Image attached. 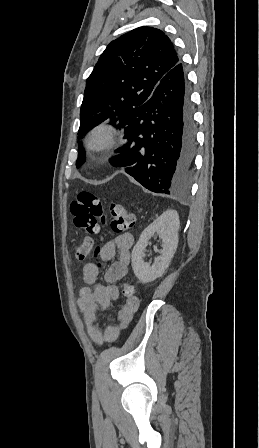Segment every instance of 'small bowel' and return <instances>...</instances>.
Wrapping results in <instances>:
<instances>
[{
	"label": "small bowel",
	"mask_w": 259,
	"mask_h": 448,
	"mask_svg": "<svg viewBox=\"0 0 259 448\" xmlns=\"http://www.w3.org/2000/svg\"><path fill=\"white\" fill-rule=\"evenodd\" d=\"M133 243V236L130 233H123L101 247L99 253L101 262H108L116 254L118 255L117 260L112 262L105 271L104 279L106 283L99 280L100 268L98 263H87L83 267V279L86 286L80 290L77 302L87 326L89 337L97 346L116 341L121 330L130 324L133 314L137 310L138 301L134 298L118 311L117 323L109 324L104 331L94 324L98 313L107 310L111 302L119 297V289L116 283L127 273Z\"/></svg>",
	"instance_id": "1"
}]
</instances>
